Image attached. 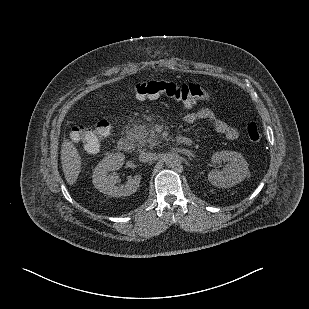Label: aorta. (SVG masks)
Listing matches in <instances>:
<instances>
[{"label": "aorta", "mask_w": 309, "mask_h": 309, "mask_svg": "<svg viewBox=\"0 0 309 309\" xmlns=\"http://www.w3.org/2000/svg\"><path fill=\"white\" fill-rule=\"evenodd\" d=\"M164 162L166 166L174 168L180 164L181 157L178 153L171 152V153L166 154L164 158Z\"/></svg>", "instance_id": "aorta-1"}]
</instances>
